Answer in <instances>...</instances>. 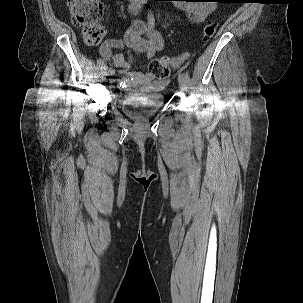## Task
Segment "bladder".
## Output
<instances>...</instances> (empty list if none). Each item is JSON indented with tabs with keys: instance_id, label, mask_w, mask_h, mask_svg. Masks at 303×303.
Segmentation results:
<instances>
[{
	"instance_id": "31cf9c89",
	"label": "bladder",
	"mask_w": 303,
	"mask_h": 303,
	"mask_svg": "<svg viewBox=\"0 0 303 303\" xmlns=\"http://www.w3.org/2000/svg\"><path fill=\"white\" fill-rule=\"evenodd\" d=\"M163 105L160 95H153L144 100L127 99L122 106L125 114L134 120H142L157 112Z\"/></svg>"
}]
</instances>
